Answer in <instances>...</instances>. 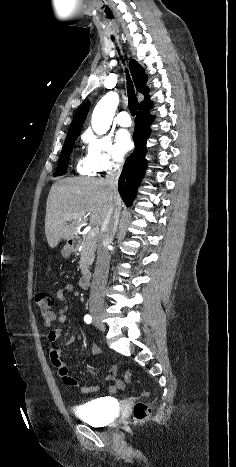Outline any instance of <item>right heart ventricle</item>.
<instances>
[{
	"instance_id": "right-heart-ventricle-1",
	"label": "right heart ventricle",
	"mask_w": 236,
	"mask_h": 467,
	"mask_svg": "<svg viewBox=\"0 0 236 467\" xmlns=\"http://www.w3.org/2000/svg\"><path fill=\"white\" fill-rule=\"evenodd\" d=\"M77 170L79 173L83 175H92L94 172L87 166L85 161H81V160L77 164Z\"/></svg>"
}]
</instances>
